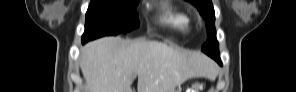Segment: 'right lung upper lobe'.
I'll use <instances>...</instances> for the list:
<instances>
[{
    "instance_id": "cb5924a9",
    "label": "right lung upper lobe",
    "mask_w": 296,
    "mask_h": 92,
    "mask_svg": "<svg viewBox=\"0 0 296 92\" xmlns=\"http://www.w3.org/2000/svg\"><path fill=\"white\" fill-rule=\"evenodd\" d=\"M131 1H139V0H131Z\"/></svg>"
}]
</instances>
